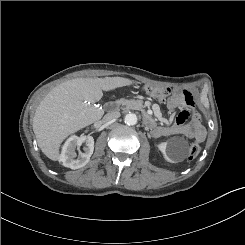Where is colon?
<instances>
[{
    "mask_svg": "<svg viewBox=\"0 0 245 245\" xmlns=\"http://www.w3.org/2000/svg\"><path fill=\"white\" fill-rule=\"evenodd\" d=\"M144 91L147 95L156 98L158 100H166L171 95L170 88L166 87H153V86H145ZM201 151V147L199 144L194 143L190 146L188 152L189 160L195 159Z\"/></svg>",
    "mask_w": 245,
    "mask_h": 245,
    "instance_id": "obj_1",
    "label": "colon"
}]
</instances>
